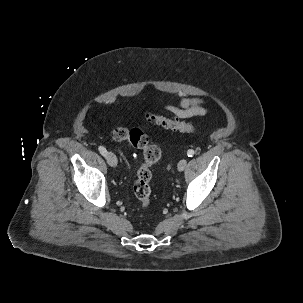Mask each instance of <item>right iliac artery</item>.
Returning a JSON list of instances; mask_svg holds the SVG:
<instances>
[{"label":"right iliac artery","instance_id":"obj_1","mask_svg":"<svg viewBox=\"0 0 303 303\" xmlns=\"http://www.w3.org/2000/svg\"><path fill=\"white\" fill-rule=\"evenodd\" d=\"M99 152L103 155V156H106V154H107V150H106V148L105 147H103V146H99Z\"/></svg>","mask_w":303,"mask_h":303}]
</instances>
